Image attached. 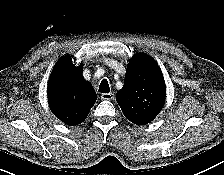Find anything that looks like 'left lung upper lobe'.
<instances>
[{"label": "left lung upper lobe", "instance_id": "obj_1", "mask_svg": "<svg viewBox=\"0 0 224 175\" xmlns=\"http://www.w3.org/2000/svg\"><path fill=\"white\" fill-rule=\"evenodd\" d=\"M165 82L155 60L148 55L134 56L127 67L124 86L116 100L124 116L134 124L155 119L165 102Z\"/></svg>", "mask_w": 224, "mask_h": 175}]
</instances>
